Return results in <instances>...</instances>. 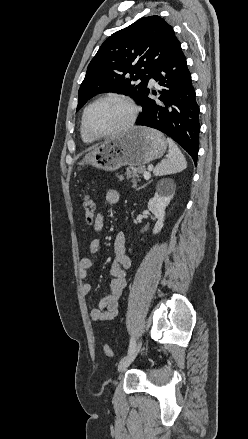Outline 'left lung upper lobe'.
<instances>
[{
	"instance_id": "1",
	"label": "left lung upper lobe",
	"mask_w": 248,
	"mask_h": 439,
	"mask_svg": "<svg viewBox=\"0 0 248 439\" xmlns=\"http://www.w3.org/2000/svg\"><path fill=\"white\" fill-rule=\"evenodd\" d=\"M178 41L161 17H144L112 34L88 65L78 92L77 111L99 93L129 95L141 103L147 83ZM140 80L139 84L133 81Z\"/></svg>"
}]
</instances>
